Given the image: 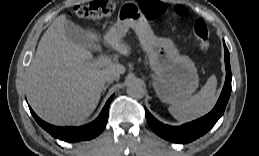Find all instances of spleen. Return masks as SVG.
I'll list each match as a JSON object with an SVG mask.
<instances>
[{
    "instance_id": "obj_1",
    "label": "spleen",
    "mask_w": 259,
    "mask_h": 156,
    "mask_svg": "<svg viewBox=\"0 0 259 156\" xmlns=\"http://www.w3.org/2000/svg\"><path fill=\"white\" fill-rule=\"evenodd\" d=\"M216 87L217 79L212 75L196 95L171 105L168 109L170 114L180 122H187L208 113L216 101Z\"/></svg>"
}]
</instances>
